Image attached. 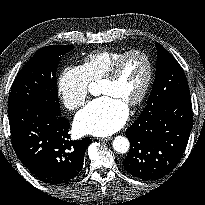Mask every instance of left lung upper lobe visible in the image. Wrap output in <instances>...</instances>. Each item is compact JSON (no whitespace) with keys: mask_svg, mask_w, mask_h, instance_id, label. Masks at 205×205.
Here are the masks:
<instances>
[{"mask_svg":"<svg viewBox=\"0 0 205 205\" xmlns=\"http://www.w3.org/2000/svg\"><path fill=\"white\" fill-rule=\"evenodd\" d=\"M156 48V76L147 104L140 115L155 112L174 97L190 95L185 73L179 63L157 42Z\"/></svg>","mask_w":205,"mask_h":205,"instance_id":"5c2ea615","label":"left lung upper lobe"}]
</instances>
